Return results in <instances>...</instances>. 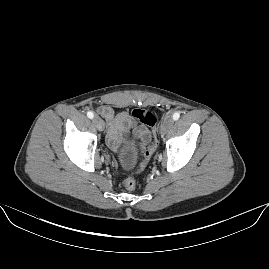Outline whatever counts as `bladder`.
Here are the masks:
<instances>
[{"mask_svg":"<svg viewBox=\"0 0 269 269\" xmlns=\"http://www.w3.org/2000/svg\"><path fill=\"white\" fill-rule=\"evenodd\" d=\"M136 162V156L134 149L131 145V143L126 144V146L123 147V152L120 154L118 159L119 167H121L124 170H131Z\"/></svg>","mask_w":269,"mask_h":269,"instance_id":"bladder-1","label":"bladder"}]
</instances>
